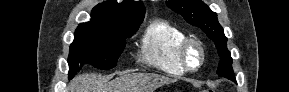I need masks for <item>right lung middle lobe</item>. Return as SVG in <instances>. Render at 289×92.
Returning a JSON list of instances; mask_svg holds the SVG:
<instances>
[{
    "label": "right lung middle lobe",
    "mask_w": 289,
    "mask_h": 92,
    "mask_svg": "<svg viewBox=\"0 0 289 92\" xmlns=\"http://www.w3.org/2000/svg\"><path fill=\"white\" fill-rule=\"evenodd\" d=\"M139 26L116 30L78 27L69 50V78L86 63L99 69L114 68L126 45L125 38L132 36Z\"/></svg>",
    "instance_id": "1"
}]
</instances>
